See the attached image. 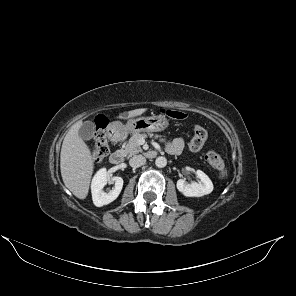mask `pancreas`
<instances>
[{
	"label": "pancreas",
	"instance_id": "1",
	"mask_svg": "<svg viewBox=\"0 0 296 296\" xmlns=\"http://www.w3.org/2000/svg\"><path fill=\"white\" fill-rule=\"evenodd\" d=\"M154 137L155 139L159 138V141L161 142H165V138H162V136L160 135H154L149 133L147 134H139V133H135L127 142V144H125L122 148V152L124 153V155H127L129 157H131L132 155L138 154L143 152L140 144H139V140L140 139H144L147 137Z\"/></svg>",
	"mask_w": 296,
	"mask_h": 296
}]
</instances>
